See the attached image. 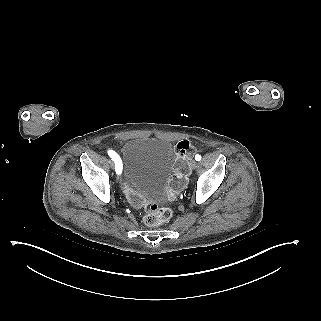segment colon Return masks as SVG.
I'll list each match as a JSON object with an SVG mask.
<instances>
[{"mask_svg":"<svg viewBox=\"0 0 321 321\" xmlns=\"http://www.w3.org/2000/svg\"><path fill=\"white\" fill-rule=\"evenodd\" d=\"M175 149L177 158L173 168L174 174L170 182L169 199H172L186 184L190 173L189 163L194 153L193 146L186 140L180 141ZM129 201L133 206L144 210L143 221L148 226H159L167 222L172 216L171 210L167 207H159L155 203H144L132 195H129Z\"/></svg>","mask_w":321,"mask_h":321,"instance_id":"1","label":"colon"}]
</instances>
